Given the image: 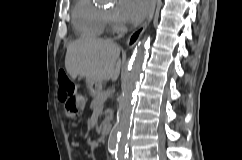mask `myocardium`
<instances>
[{"instance_id": "myocardium-1", "label": "myocardium", "mask_w": 242, "mask_h": 160, "mask_svg": "<svg viewBox=\"0 0 242 160\" xmlns=\"http://www.w3.org/2000/svg\"><path fill=\"white\" fill-rule=\"evenodd\" d=\"M103 14H104V18H105V21L111 25H115L116 22L114 20V17L112 14L106 12V11H103Z\"/></svg>"}]
</instances>
